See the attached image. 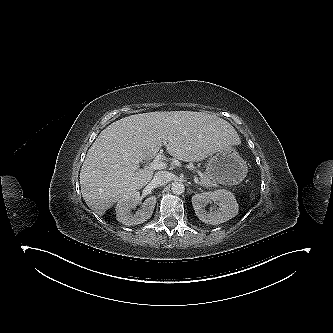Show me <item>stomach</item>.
<instances>
[{"instance_id":"stomach-1","label":"stomach","mask_w":333,"mask_h":333,"mask_svg":"<svg viewBox=\"0 0 333 333\" xmlns=\"http://www.w3.org/2000/svg\"><path fill=\"white\" fill-rule=\"evenodd\" d=\"M248 168L233 147L217 152L207 163L206 175L216 183L236 185L244 180Z\"/></svg>"}]
</instances>
